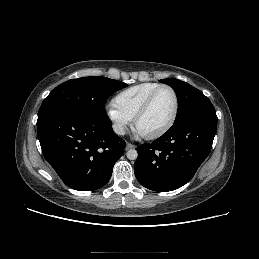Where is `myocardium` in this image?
I'll return each instance as SVG.
<instances>
[{
    "mask_svg": "<svg viewBox=\"0 0 259 259\" xmlns=\"http://www.w3.org/2000/svg\"><path fill=\"white\" fill-rule=\"evenodd\" d=\"M162 89L170 90L174 96L175 104H174L173 114H172L170 120L166 123V125L163 126L161 129H159L158 131L151 133V134H141L144 138L149 139V140L157 139V138L163 136L165 133H167L174 125V123L177 119L178 113H179L180 102H179V96H178L177 91L170 85L162 84V85L158 86L157 88H155L148 95V97L146 98V100L144 101V103L142 104V106L140 107L138 112L136 113V115L133 119L134 128L137 130L139 121L147 114L156 94Z\"/></svg>",
    "mask_w": 259,
    "mask_h": 259,
    "instance_id": "1",
    "label": "myocardium"
}]
</instances>
